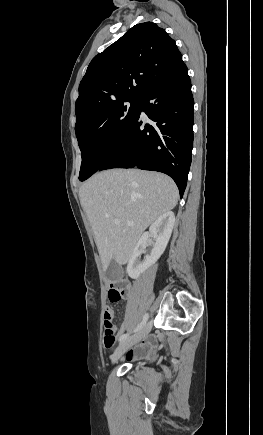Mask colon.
Returning a JSON list of instances; mask_svg holds the SVG:
<instances>
[{
  "label": "colon",
  "instance_id": "1",
  "mask_svg": "<svg viewBox=\"0 0 263 435\" xmlns=\"http://www.w3.org/2000/svg\"><path fill=\"white\" fill-rule=\"evenodd\" d=\"M124 291L122 287L116 284H109L108 298L111 302H118L123 298ZM115 331L113 318L108 311L104 313V348L105 350H114L115 348Z\"/></svg>",
  "mask_w": 263,
  "mask_h": 435
}]
</instances>
